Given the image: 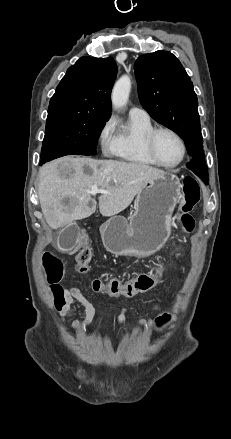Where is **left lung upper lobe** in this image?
<instances>
[{"instance_id":"1","label":"left lung upper lobe","mask_w":231,"mask_h":439,"mask_svg":"<svg viewBox=\"0 0 231 439\" xmlns=\"http://www.w3.org/2000/svg\"><path fill=\"white\" fill-rule=\"evenodd\" d=\"M134 70L143 108L184 140L192 158L187 168L207 184L198 100L180 61L168 51H156L141 55Z\"/></svg>"}]
</instances>
